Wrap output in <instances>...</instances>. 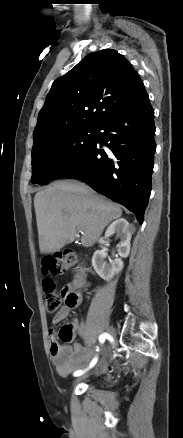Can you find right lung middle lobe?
<instances>
[{"instance_id": "obj_1", "label": "right lung middle lobe", "mask_w": 183, "mask_h": 438, "mask_svg": "<svg viewBox=\"0 0 183 438\" xmlns=\"http://www.w3.org/2000/svg\"><path fill=\"white\" fill-rule=\"evenodd\" d=\"M98 127H77L48 134L34 140L32 181L44 185L95 139Z\"/></svg>"}]
</instances>
